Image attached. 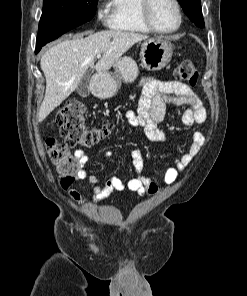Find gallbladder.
<instances>
[{
  "label": "gallbladder",
  "instance_id": "gallbladder-1",
  "mask_svg": "<svg viewBox=\"0 0 247 296\" xmlns=\"http://www.w3.org/2000/svg\"><path fill=\"white\" fill-rule=\"evenodd\" d=\"M90 71H87L81 78L76 91L81 97H87L90 94Z\"/></svg>",
  "mask_w": 247,
  "mask_h": 296
}]
</instances>
